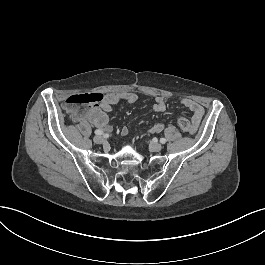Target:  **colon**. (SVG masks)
<instances>
[{"mask_svg": "<svg viewBox=\"0 0 265 265\" xmlns=\"http://www.w3.org/2000/svg\"><path fill=\"white\" fill-rule=\"evenodd\" d=\"M99 98L93 91L84 92L82 94L75 93L67 96L63 100V105L67 109L77 110L81 106L93 107L97 105ZM179 126L184 134H189L193 129L192 122L187 118L179 119Z\"/></svg>", "mask_w": 265, "mask_h": 265, "instance_id": "1", "label": "colon"}]
</instances>
